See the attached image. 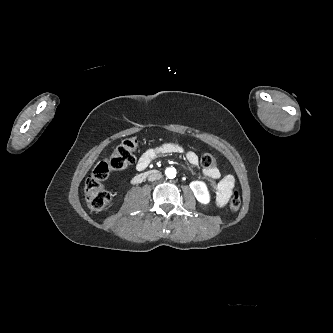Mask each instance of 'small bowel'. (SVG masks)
Segmentation results:
<instances>
[{
    "label": "small bowel",
    "mask_w": 333,
    "mask_h": 333,
    "mask_svg": "<svg viewBox=\"0 0 333 333\" xmlns=\"http://www.w3.org/2000/svg\"><path fill=\"white\" fill-rule=\"evenodd\" d=\"M167 154H183L187 162L191 165H197L199 161L198 155L195 152L185 150V148L178 143L169 142L145 150L136 163V169L140 172L144 171L155 158ZM203 174L215 188L216 204L219 207L225 206L232 194L234 177L230 174L221 177V173L216 167L204 168Z\"/></svg>",
    "instance_id": "c3829d8e"
}]
</instances>
